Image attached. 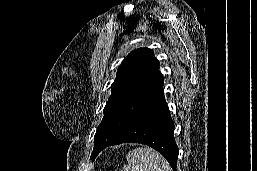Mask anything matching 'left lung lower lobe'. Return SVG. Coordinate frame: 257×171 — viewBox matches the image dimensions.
I'll use <instances>...</instances> for the list:
<instances>
[{
  "instance_id": "obj_1",
  "label": "left lung lower lobe",
  "mask_w": 257,
  "mask_h": 171,
  "mask_svg": "<svg viewBox=\"0 0 257 171\" xmlns=\"http://www.w3.org/2000/svg\"><path fill=\"white\" fill-rule=\"evenodd\" d=\"M125 142L141 143L159 151L176 171L179 149L174 138V122L164 98L163 87L115 138L96 148L91 159L106 147Z\"/></svg>"
}]
</instances>
